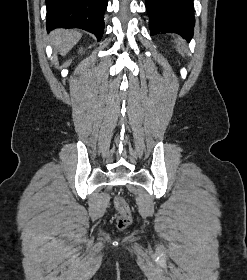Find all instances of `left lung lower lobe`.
<instances>
[{"label": "left lung lower lobe", "instance_id": "obj_1", "mask_svg": "<svg viewBox=\"0 0 247 280\" xmlns=\"http://www.w3.org/2000/svg\"><path fill=\"white\" fill-rule=\"evenodd\" d=\"M150 35L177 33L190 40L195 25L193 0H145Z\"/></svg>", "mask_w": 247, "mask_h": 280}]
</instances>
